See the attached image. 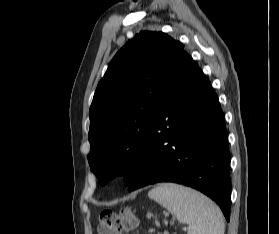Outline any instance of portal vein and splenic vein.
Masks as SVG:
<instances>
[{
	"mask_svg": "<svg viewBox=\"0 0 279 234\" xmlns=\"http://www.w3.org/2000/svg\"><path fill=\"white\" fill-rule=\"evenodd\" d=\"M154 231V229H150V232H153Z\"/></svg>",
	"mask_w": 279,
	"mask_h": 234,
	"instance_id": "1",
	"label": "portal vein and splenic vein"
}]
</instances>
